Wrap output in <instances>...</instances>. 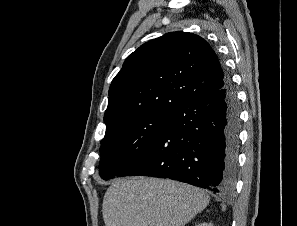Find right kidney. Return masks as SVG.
I'll use <instances>...</instances> for the list:
<instances>
[{"label":"right kidney","mask_w":297,"mask_h":226,"mask_svg":"<svg viewBox=\"0 0 297 226\" xmlns=\"http://www.w3.org/2000/svg\"><path fill=\"white\" fill-rule=\"evenodd\" d=\"M198 226H213V224H211V223H202V224H200V225H198Z\"/></svg>","instance_id":"ca27d5eb"}]
</instances>
